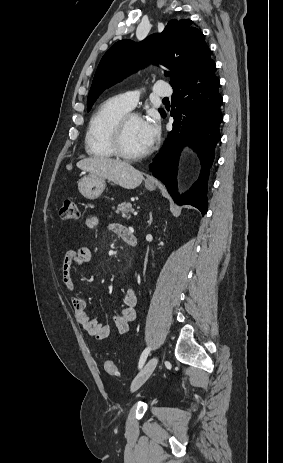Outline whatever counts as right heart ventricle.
Here are the masks:
<instances>
[{
	"label": "right heart ventricle",
	"instance_id": "e07e8e85",
	"mask_svg": "<svg viewBox=\"0 0 283 463\" xmlns=\"http://www.w3.org/2000/svg\"><path fill=\"white\" fill-rule=\"evenodd\" d=\"M118 96L110 97L102 102L92 114L85 135V149L88 155L95 158H111L115 154L110 139L114 125L118 119L128 113Z\"/></svg>",
	"mask_w": 283,
	"mask_h": 463
}]
</instances>
